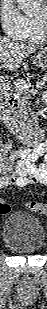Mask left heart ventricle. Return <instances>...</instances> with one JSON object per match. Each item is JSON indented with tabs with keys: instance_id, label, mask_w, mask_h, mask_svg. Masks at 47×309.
Listing matches in <instances>:
<instances>
[{
	"instance_id": "1",
	"label": "left heart ventricle",
	"mask_w": 47,
	"mask_h": 309,
	"mask_svg": "<svg viewBox=\"0 0 47 309\" xmlns=\"http://www.w3.org/2000/svg\"><path fill=\"white\" fill-rule=\"evenodd\" d=\"M44 16V13H42L41 15H40V17H43Z\"/></svg>"
}]
</instances>
